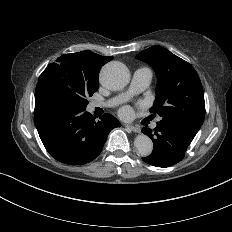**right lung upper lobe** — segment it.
<instances>
[{
  "mask_svg": "<svg viewBox=\"0 0 232 232\" xmlns=\"http://www.w3.org/2000/svg\"><path fill=\"white\" fill-rule=\"evenodd\" d=\"M112 56H101L92 51H81L74 54H64L56 63L77 70L88 77L99 76L100 68L109 62Z\"/></svg>",
  "mask_w": 232,
  "mask_h": 232,
  "instance_id": "cb5924a9",
  "label": "right lung upper lobe"
}]
</instances>
